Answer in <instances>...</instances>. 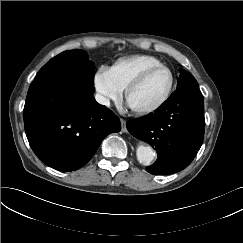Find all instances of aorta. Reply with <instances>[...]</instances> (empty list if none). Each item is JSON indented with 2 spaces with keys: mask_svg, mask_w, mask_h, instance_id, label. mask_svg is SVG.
Instances as JSON below:
<instances>
[{
  "mask_svg": "<svg viewBox=\"0 0 243 243\" xmlns=\"http://www.w3.org/2000/svg\"><path fill=\"white\" fill-rule=\"evenodd\" d=\"M136 155L138 161L144 165H149L155 157L153 149L150 146L144 145H140L137 147Z\"/></svg>",
  "mask_w": 243,
  "mask_h": 243,
  "instance_id": "obj_1",
  "label": "aorta"
}]
</instances>
